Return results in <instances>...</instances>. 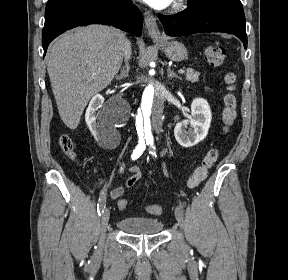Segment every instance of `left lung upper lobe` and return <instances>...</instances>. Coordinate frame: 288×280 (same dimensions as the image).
Masks as SVG:
<instances>
[{
  "instance_id": "left-lung-upper-lobe-1",
  "label": "left lung upper lobe",
  "mask_w": 288,
  "mask_h": 280,
  "mask_svg": "<svg viewBox=\"0 0 288 280\" xmlns=\"http://www.w3.org/2000/svg\"><path fill=\"white\" fill-rule=\"evenodd\" d=\"M204 3L216 9L231 12L236 16L245 19L243 6L240 0H189L187 5L199 6Z\"/></svg>"
}]
</instances>
